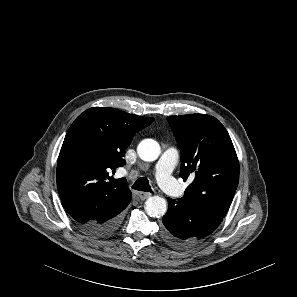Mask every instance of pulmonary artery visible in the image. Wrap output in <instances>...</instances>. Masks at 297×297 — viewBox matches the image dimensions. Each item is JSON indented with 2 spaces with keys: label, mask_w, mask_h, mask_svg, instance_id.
Returning a JSON list of instances; mask_svg holds the SVG:
<instances>
[{
  "label": "pulmonary artery",
  "mask_w": 297,
  "mask_h": 297,
  "mask_svg": "<svg viewBox=\"0 0 297 297\" xmlns=\"http://www.w3.org/2000/svg\"><path fill=\"white\" fill-rule=\"evenodd\" d=\"M178 157L179 154L175 148H168L161 154L155 166V177L158 185L171 196H180L182 194V189L171 176Z\"/></svg>",
  "instance_id": "e3ab8cb5"
}]
</instances>
